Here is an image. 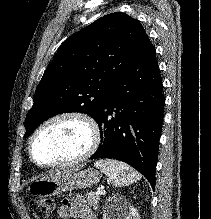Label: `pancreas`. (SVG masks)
Instances as JSON below:
<instances>
[{
  "mask_svg": "<svg viewBox=\"0 0 211 219\" xmlns=\"http://www.w3.org/2000/svg\"><path fill=\"white\" fill-rule=\"evenodd\" d=\"M87 202L90 206H92L95 210L98 209V201L100 199V196L95 194L94 192H90L86 194Z\"/></svg>",
  "mask_w": 211,
  "mask_h": 219,
  "instance_id": "pancreas-1",
  "label": "pancreas"
}]
</instances>
